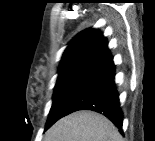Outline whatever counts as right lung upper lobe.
<instances>
[{
    "label": "right lung upper lobe",
    "instance_id": "right-lung-upper-lobe-1",
    "mask_svg": "<svg viewBox=\"0 0 155 141\" xmlns=\"http://www.w3.org/2000/svg\"><path fill=\"white\" fill-rule=\"evenodd\" d=\"M110 56L103 34L98 29H87L71 40L62 56L58 72L96 71Z\"/></svg>",
    "mask_w": 155,
    "mask_h": 141
}]
</instances>
